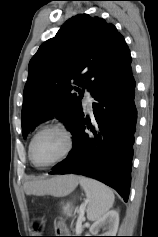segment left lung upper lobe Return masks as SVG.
Instances as JSON below:
<instances>
[{"instance_id":"obj_1","label":"left lung upper lobe","mask_w":158,"mask_h":237,"mask_svg":"<svg viewBox=\"0 0 158 237\" xmlns=\"http://www.w3.org/2000/svg\"><path fill=\"white\" fill-rule=\"evenodd\" d=\"M131 60L113 24L88 14L67 20L30 60L21 113L23 137L53 116L73 134L84 116L82 96L74 93L82 91L74 85L94 95Z\"/></svg>"}]
</instances>
